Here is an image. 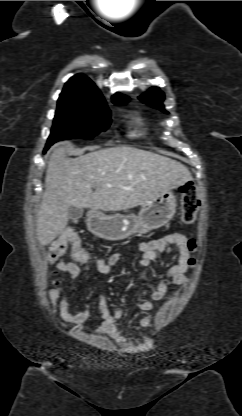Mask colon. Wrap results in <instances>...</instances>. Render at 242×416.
I'll list each match as a JSON object with an SVG mask.
<instances>
[{"mask_svg": "<svg viewBox=\"0 0 242 416\" xmlns=\"http://www.w3.org/2000/svg\"><path fill=\"white\" fill-rule=\"evenodd\" d=\"M200 207V199L197 187L193 182L185 183L181 188V216L180 221L185 225L192 224ZM187 247L192 256L189 259V266L194 268L197 263L196 256L198 244L195 238H190ZM67 253L73 261L83 263L88 261L90 254L83 247L79 237L71 230H64L60 236L52 242L47 252V259L51 264L57 263Z\"/></svg>", "mask_w": 242, "mask_h": 416, "instance_id": "colon-1", "label": "colon"}]
</instances>
